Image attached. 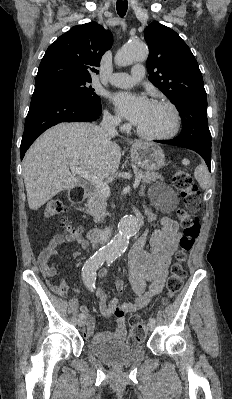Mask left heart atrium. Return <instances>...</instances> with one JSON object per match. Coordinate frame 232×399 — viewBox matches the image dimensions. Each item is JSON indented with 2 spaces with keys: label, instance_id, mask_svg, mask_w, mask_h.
Masks as SVG:
<instances>
[{
  "label": "left heart atrium",
  "instance_id": "39dd6f15",
  "mask_svg": "<svg viewBox=\"0 0 232 399\" xmlns=\"http://www.w3.org/2000/svg\"><path fill=\"white\" fill-rule=\"evenodd\" d=\"M114 103L118 112L135 125L144 118L151 105L142 98H135L127 94L116 95Z\"/></svg>",
  "mask_w": 232,
  "mask_h": 399
}]
</instances>
